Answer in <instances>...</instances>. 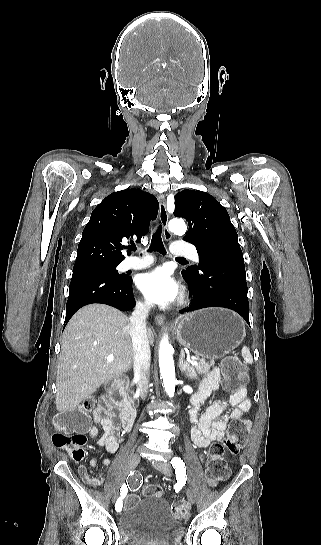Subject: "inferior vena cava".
<instances>
[{"label":"inferior vena cava","instance_id":"1","mask_svg":"<svg viewBox=\"0 0 321 545\" xmlns=\"http://www.w3.org/2000/svg\"><path fill=\"white\" fill-rule=\"evenodd\" d=\"M153 305L150 301L137 303L130 317V335L133 345V369L137 381V391L141 399H146L149 391L151 351L147 339L146 319Z\"/></svg>","mask_w":321,"mask_h":545}]
</instances>
